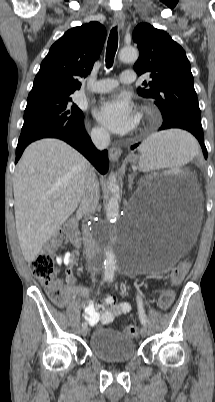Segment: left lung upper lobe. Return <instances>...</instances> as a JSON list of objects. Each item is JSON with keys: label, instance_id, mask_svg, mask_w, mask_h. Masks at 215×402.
<instances>
[{"label": "left lung upper lobe", "instance_id": "obj_1", "mask_svg": "<svg viewBox=\"0 0 215 402\" xmlns=\"http://www.w3.org/2000/svg\"><path fill=\"white\" fill-rule=\"evenodd\" d=\"M133 40L140 52L134 70L151 77V81L143 82L146 89L138 88V94L155 100L163 121L184 118L201 124L193 75L183 48L165 31L148 23L137 25Z\"/></svg>", "mask_w": 215, "mask_h": 402}]
</instances>
